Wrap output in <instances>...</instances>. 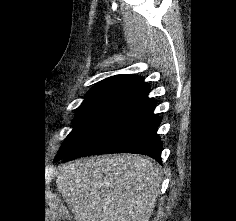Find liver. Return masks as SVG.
Segmentation results:
<instances>
[{
	"label": "liver",
	"mask_w": 236,
	"mask_h": 221,
	"mask_svg": "<svg viewBox=\"0 0 236 221\" xmlns=\"http://www.w3.org/2000/svg\"><path fill=\"white\" fill-rule=\"evenodd\" d=\"M161 183L155 162L130 154L69 162L56 179L76 221H149Z\"/></svg>",
	"instance_id": "1"
}]
</instances>
